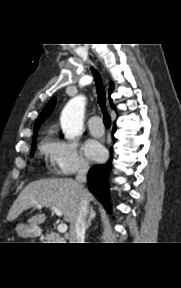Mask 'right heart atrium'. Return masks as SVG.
Returning <instances> with one entry per match:
<instances>
[{
	"instance_id": "right-heart-atrium-1",
	"label": "right heart atrium",
	"mask_w": 181,
	"mask_h": 288,
	"mask_svg": "<svg viewBox=\"0 0 181 288\" xmlns=\"http://www.w3.org/2000/svg\"><path fill=\"white\" fill-rule=\"evenodd\" d=\"M44 153L51 169L58 175H72L88 169V162L78 151L75 141L51 139L45 143Z\"/></svg>"
}]
</instances>
